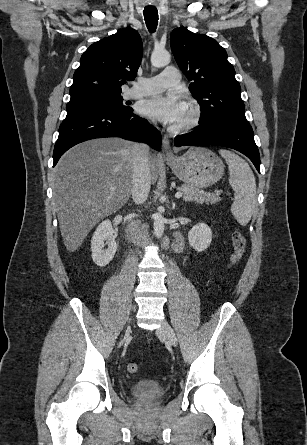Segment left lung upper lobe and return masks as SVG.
Masks as SVG:
<instances>
[{
    "mask_svg": "<svg viewBox=\"0 0 307 445\" xmlns=\"http://www.w3.org/2000/svg\"><path fill=\"white\" fill-rule=\"evenodd\" d=\"M170 42L178 66L192 81L189 90L201 106L199 124L219 119L246 121L241 88L225 49L213 38L185 27L174 29Z\"/></svg>",
    "mask_w": 307,
    "mask_h": 445,
    "instance_id": "5c2ea615",
    "label": "left lung upper lobe"
}]
</instances>
